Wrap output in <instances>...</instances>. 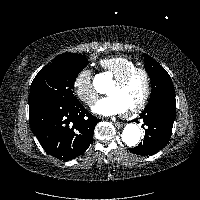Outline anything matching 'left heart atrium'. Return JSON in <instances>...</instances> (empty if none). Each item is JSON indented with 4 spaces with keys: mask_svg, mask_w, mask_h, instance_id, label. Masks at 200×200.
<instances>
[{
    "mask_svg": "<svg viewBox=\"0 0 200 200\" xmlns=\"http://www.w3.org/2000/svg\"><path fill=\"white\" fill-rule=\"evenodd\" d=\"M92 111L102 116H113L123 112L116 98L110 95L97 101Z\"/></svg>",
    "mask_w": 200,
    "mask_h": 200,
    "instance_id": "1",
    "label": "left heart atrium"
}]
</instances>
